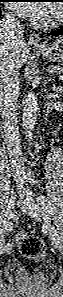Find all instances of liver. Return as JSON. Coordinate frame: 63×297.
Listing matches in <instances>:
<instances>
[{
  "instance_id": "obj_1",
  "label": "liver",
  "mask_w": 63,
  "mask_h": 297,
  "mask_svg": "<svg viewBox=\"0 0 63 297\" xmlns=\"http://www.w3.org/2000/svg\"><path fill=\"white\" fill-rule=\"evenodd\" d=\"M28 55L29 48L24 41L16 45L0 34V67L3 62L17 70L26 63Z\"/></svg>"
}]
</instances>
